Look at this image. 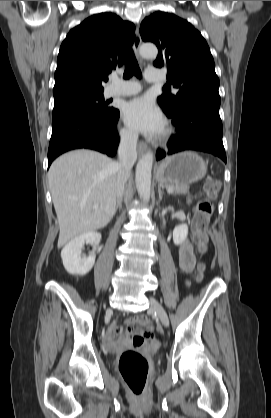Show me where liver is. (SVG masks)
<instances>
[{
	"instance_id": "liver-1",
	"label": "liver",
	"mask_w": 271,
	"mask_h": 418,
	"mask_svg": "<svg viewBox=\"0 0 271 418\" xmlns=\"http://www.w3.org/2000/svg\"><path fill=\"white\" fill-rule=\"evenodd\" d=\"M117 174V162L92 150L71 151L52 163L48 181L60 228L58 248L111 221Z\"/></svg>"
}]
</instances>
